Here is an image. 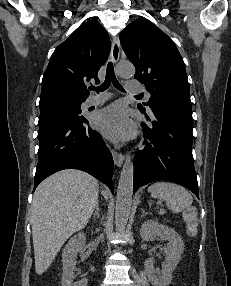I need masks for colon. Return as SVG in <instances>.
<instances>
[{"label": "colon", "mask_w": 231, "mask_h": 286, "mask_svg": "<svg viewBox=\"0 0 231 286\" xmlns=\"http://www.w3.org/2000/svg\"><path fill=\"white\" fill-rule=\"evenodd\" d=\"M184 217L187 221L188 231L190 234H194L196 230L195 212L192 208L185 211Z\"/></svg>", "instance_id": "5ec220e1"}]
</instances>
